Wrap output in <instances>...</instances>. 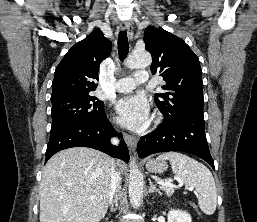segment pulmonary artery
Returning a JSON list of instances; mask_svg holds the SVG:
<instances>
[{
    "instance_id": "obj_1",
    "label": "pulmonary artery",
    "mask_w": 257,
    "mask_h": 222,
    "mask_svg": "<svg viewBox=\"0 0 257 222\" xmlns=\"http://www.w3.org/2000/svg\"><path fill=\"white\" fill-rule=\"evenodd\" d=\"M148 81V73L146 71H140L134 75V77H127L118 80L115 83V89L118 92H128L134 89L137 84L146 83Z\"/></svg>"
}]
</instances>
